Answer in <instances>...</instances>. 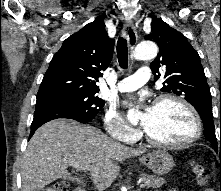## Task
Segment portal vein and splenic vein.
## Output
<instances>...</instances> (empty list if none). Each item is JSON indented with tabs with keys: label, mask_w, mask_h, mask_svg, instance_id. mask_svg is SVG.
Masks as SVG:
<instances>
[{
	"label": "portal vein and splenic vein",
	"mask_w": 221,
	"mask_h": 191,
	"mask_svg": "<svg viewBox=\"0 0 221 191\" xmlns=\"http://www.w3.org/2000/svg\"><path fill=\"white\" fill-rule=\"evenodd\" d=\"M71 165H74L73 163H71ZM140 187L142 188V187H144V184H140Z\"/></svg>",
	"instance_id": "obj_1"
}]
</instances>
